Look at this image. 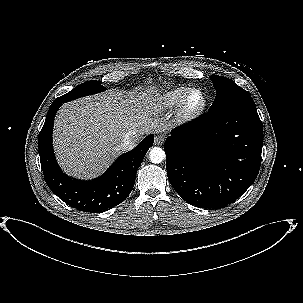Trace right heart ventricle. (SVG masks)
Masks as SVG:
<instances>
[{
  "label": "right heart ventricle",
  "instance_id": "1",
  "mask_svg": "<svg viewBox=\"0 0 303 303\" xmlns=\"http://www.w3.org/2000/svg\"><path fill=\"white\" fill-rule=\"evenodd\" d=\"M190 90L187 86H178L150 98L148 105L152 110L165 111L177 107Z\"/></svg>",
  "mask_w": 303,
  "mask_h": 303
}]
</instances>
